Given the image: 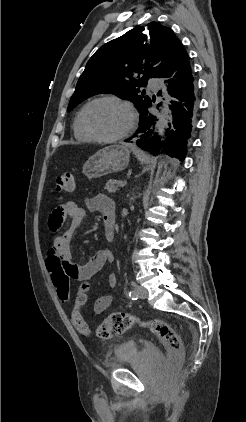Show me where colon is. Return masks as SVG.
<instances>
[{
	"mask_svg": "<svg viewBox=\"0 0 246 422\" xmlns=\"http://www.w3.org/2000/svg\"><path fill=\"white\" fill-rule=\"evenodd\" d=\"M74 185V177L70 172L59 174L56 178L55 186L56 190L59 192L72 191ZM47 269L50 272L58 298L62 302H68L70 299L69 279L71 278L69 268L59 255L52 252L47 256ZM88 290L89 283L86 280H83L76 292L71 312L73 326L84 335L92 334L91 328L85 322L81 313V307L87 300ZM137 322L138 320L128 313L115 312L98 325L94 333L100 339H110L114 335L125 333ZM142 324L148 327L167 349L173 364L178 365L183 362V344L178 333L171 325L159 319H152L147 322H142Z\"/></svg>",
	"mask_w": 246,
	"mask_h": 422,
	"instance_id": "obj_1",
	"label": "colon"
}]
</instances>
